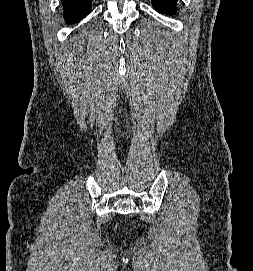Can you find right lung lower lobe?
Here are the masks:
<instances>
[{"label":"right lung lower lobe","mask_w":253,"mask_h":271,"mask_svg":"<svg viewBox=\"0 0 253 271\" xmlns=\"http://www.w3.org/2000/svg\"><path fill=\"white\" fill-rule=\"evenodd\" d=\"M64 6V19L75 23L85 17L91 10V0H61Z\"/></svg>","instance_id":"1"}]
</instances>
